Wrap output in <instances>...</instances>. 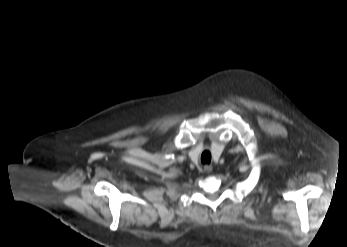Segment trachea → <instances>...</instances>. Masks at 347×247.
I'll list each match as a JSON object with an SVG mask.
<instances>
[{"instance_id":"1","label":"trachea","mask_w":347,"mask_h":247,"mask_svg":"<svg viewBox=\"0 0 347 247\" xmlns=\"http://www.w3.org/2000/svg\"><path fill=\"white\" fill-rule=\"evenodd\" d=\"M201 162L203 164H210L211 162V154L209 151H204L201 155Z\"/></svg>"}]
</instances>
